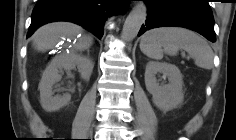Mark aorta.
<instances>
[{"instance_id":"762f6f07","label":"aorta","mask_w":236,"mask_h":140,"mask_svg":"<svg viewBox=\"0 0 236 140\" xmlns=\"http://www.w3.org/2000/svg\"><path fill=\"white\" fill-rule=\"evenodd\" d=\"M147 18V7L144 2H138L127 16L121 38L125 42L132 41L138 34L142 24Z\"/></svg>"}]
</instances>
